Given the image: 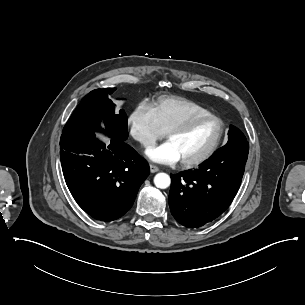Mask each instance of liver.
Wrapping results in <instances>:
<instances>
[{"instance_id": "liver-1", "label": "liver", "mask_w": 305, "mask_h": 305, "mask_svg": "<svg viewBox=\"0 0 305 305\" xmlns=\"http://www.w3.org/2000/svg\"><path fill=\"white\" fill-rule=\"evenodd\" d=\"M100 137V139L102 140V141H104L105 143H109L110 142V140L108 139V138H105V137H103V136H99Z\"/></svg>"}]
</instances>
